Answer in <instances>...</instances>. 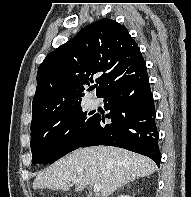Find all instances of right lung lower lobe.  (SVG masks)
I'll return each mask as SVG.
<instances>
[{"mask_svg": "<svg viewBox=\"0 0 191 197\" xmlns=\"http://www.w3.org/2000/svg\"><path fill=\"white\" fill-rule=\"evenodd\" d=\"M99 97L105 101L106 118L96 115L95 122L79 147L108 145L148 156L159 166L156 112L146 65L110 85Z\"/></svg>", "mask_w": 191, "mask_h": 197, "instance_id": "1", "label": "right lung lower lobe"}]
</instances>
